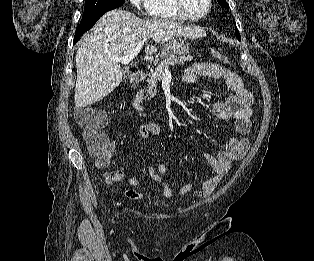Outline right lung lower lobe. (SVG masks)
Wrapping results in <instances>:
<instances>
[{
	"instance_id": "1",
	"label": "right lung lower lobe",
	"mask_w": 314,
	"mask_h": 261,
	"mask_svg": "<svg viewBox=\"0 0 314 261\" xmlns=\"http://www.w3.org/2000/svg\"><path fill=\"white\" fill-rule=\"evenodd\" d=\"M100 17H101V16L95 18L94 20H92V21H90V22L80 24V25L77 27V29H76L73 44H75V43L78 41V39H79L87 30H89L90 28H92L93 25L96 23V21H97Z\"/></svg>"
}]
</instances>
